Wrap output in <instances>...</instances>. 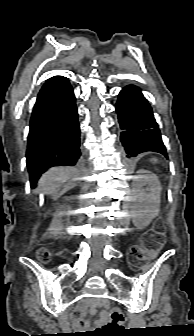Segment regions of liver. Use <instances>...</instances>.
<instances>
[{"instance_id": "obj_1", "label": "liver", "mask_w": 194, "mask_h": 336, "mask_svg": "<svg viewBox=\"0 0 194 336\" xmlns=\"http://www.w3.org/2000/svg\"><path fill=\"white\" fill-rule=\"evenodd\" d=\"M76 170L69 167H54L49 169L39 180V186L46 194L55 193L75 174Z\"/></svg>"}]
</instances>
